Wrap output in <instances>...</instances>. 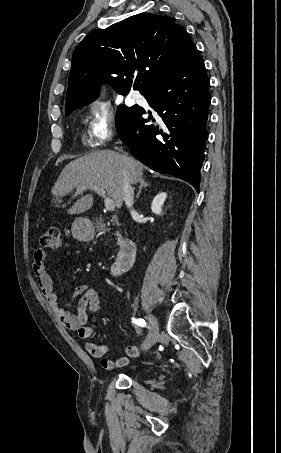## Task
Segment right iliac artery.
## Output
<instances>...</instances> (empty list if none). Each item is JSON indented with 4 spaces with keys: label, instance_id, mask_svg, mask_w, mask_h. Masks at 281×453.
<instances>
[{
    "label": "right iliac artery",
    "instance_id": "82829eb1",
    "mask_svg": "<svg viewBox=\"0 0 281 453\" xmlns=\"http://www.w3.org/2000/svg\"><path fill=\"white\" fill-rule=\"evenodd\" d=\"M132 319H133L132 322L137 324L138 326H141V327L146 326V322L144 319H134V318H132Z\"/></svg>",
    "mask_w": 281,
    "mask_h": 453
}]
</instances>
